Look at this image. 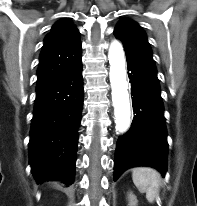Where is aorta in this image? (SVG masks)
<instances>
[{"instance_id":"762f6f07","label":"aorta","mask_w":197,"mask_h":206,"mask_svg":"<svg viewBox=\"0 0 197 206\" xmlns=\"http://www.w3.org/2000/svg\"><path fill=\"white\" fill-rule=\"evenodd\" d=\"M110 83L115 114L116 132H125L130 125V102L126 81L125 58L122 45L113 41L109 48Z\"/></svg>"}]
</instances>
